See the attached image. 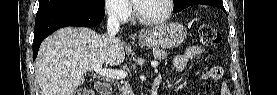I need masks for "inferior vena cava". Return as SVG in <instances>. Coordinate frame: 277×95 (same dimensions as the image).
Returning a JSON list of instances; mask_svg holds the SVG:
<instances>
[{
    "instance_id": "602c4592",
    "label": "inferior vena cava",
    "mask_w": 277,
    "mask_h": 95,
    "mask_svg": "<svg viewBox=\"0 0 277 95\" xmlns=\"http://www.w3.org/2000/svg\"><path fill=\"white\" fill-rule=\"evenodd\" d=\"M120 22L115 9H111L107 20V33L111 41H116V34L119 32Z\"/></svg>"
}]
</instances>
